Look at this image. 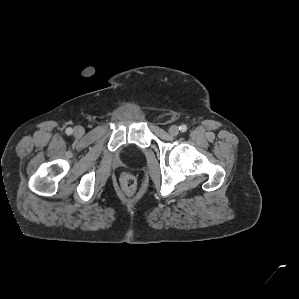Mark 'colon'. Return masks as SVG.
Here are the masks:
<instances>
[{"instance_id":"5ec220e1","label":"colon","mask_w":299,"mask_h":299,"mask_svg":"<svg viewBox=\"0 0 299 299\" xmlns=\"http://www.w3.org/2000/svg\"><path fill=\"white\" fill-rule=\"evenodd\" d=\"M120 184L128 192H133L136 189V179L130 172H123L121 174Z\"/></svg>"}]
</instances>
